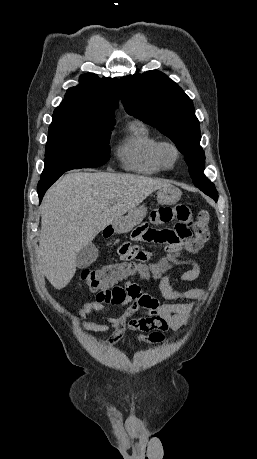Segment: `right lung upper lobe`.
Segmentation results:
<instances>
[{"instance_id":"cb5924a9","label":"right lung upper lobe","mask_w":257,"mask_h":459,"mask_svg":"<svg viewBox=\"0 0 257 459\" xmlns=\"http://www.w3.org/2000/svg\"><path fill=\"white\" fill-rule=\"evenodd\" d=\"M79 85L67 90L65 99L55 109L53 118L80 121L98 126H113L118 107V80L92 73L81 75Z\"/></svg>"}]
</instances>
